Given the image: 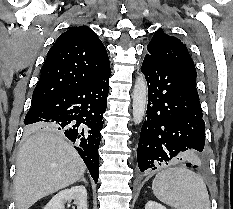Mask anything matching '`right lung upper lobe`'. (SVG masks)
<instances>
[{
  "mask_svg": "<svg viewBox=\"0 0 233 209\" xmlns=\"http://www.w3.org/2000/svg\"><path fill=\"white\" fill-rule=\"evenodd\" d=\"M110 69L107 51L87 26L73 27L58 37L47 53L32 105L80 87Z\"/></svg>",
  "mask_w": 233,
  "mask_h": 209,
  "instance_id": "right-lung-upper-lobe-1",
  "label": "right lung upper lobe"
}]
</instances>
